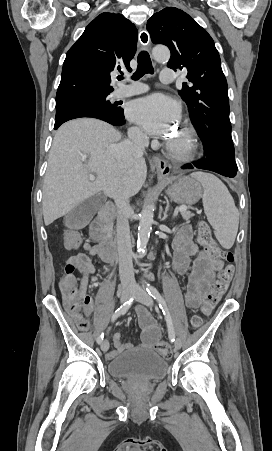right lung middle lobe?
<instances>
[{
	"label": "right lung middle lobe",
	"mask_w": 272,
	"mask_h": 451,
	"mask_svg": "<svg viewBox=\"0 0 272 451\" xmlns=\"http://www.w3.org/2000/svg\"><path fill=\"white\" fill-rule=\"evenodd\" d=\"M56 119L80 111L94 112L107 117L118 118L123 110L109 100V94L86 95L56 99Z\"/></svg>",
	"instance_id": "right-lung-middle-lobe-1"
}]
</instances>
